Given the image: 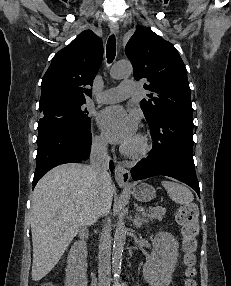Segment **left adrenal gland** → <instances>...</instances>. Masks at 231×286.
<instances>
[{
    "label": "left adrenal gland",
    "mask_w": 231,
    "mask_h": 286,
    "mask_svg": "<svg viewBox=\"0 0 231 286\" xmlns=\"http://www.w3.org/2000/svg\"><path fill=\"white\" fill-rule=\"evenodd\" d=\"M145 219L141 218L140 214H136L134 217V225L136 228L141 227L145 223Z\"/></svg>",
    "instance_id": "left-adrenal-gland-1"
}]
</instances>
